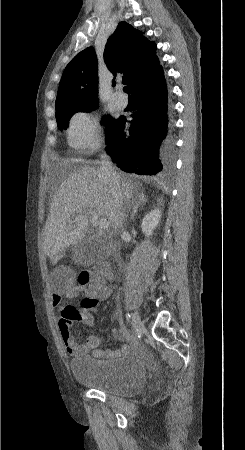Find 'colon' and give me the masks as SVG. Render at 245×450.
<instances>
[{"instance_id": "colon-1", "label": "colon", "mask_w": 245, "mask_h": 450, "mask_svg": "<svg viewBox=\"0 0 245 450\" xmlns=\"http://www.w3.org/2000/svg\"><path fill=\"white\" fill-rule=\"evenodd\" d=\"M111 268L104 263H98L93 268L89 270H84L80 272L76 277V283L78 289H80L85 294H91L93 287L95 284L104 285L105 280L104 277L110 275ZM101 276V279H96V276ZM95 306V301L91 297H86L80 308L83 310H90ZM61 316L63 317L64 322L68 325L77 321L81 318L79 310L73 308L72 305H65L61 310Z\"/></svg>"}]
</instances>
